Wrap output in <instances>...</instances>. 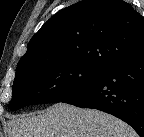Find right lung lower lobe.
I'll use <instances>...</instances> for the list:
<instances>
[{
  "label": "right lung lower lobe",
  "mask_w": 144,
  "mask_h": 137,
  "mask_svg": "<svg viewBox=\"0 0 144 137\" xmlns=\"http://www.w3.org/2000/svg\"><path fill=\"white\" fill-rule=\"evenodd\" d=\"M62 102L112 114L144 137V50L113 65Z\"/></svg>",
  "instance_id": "98d812e1"
}]
</instances>
